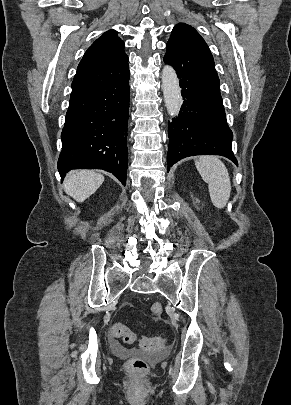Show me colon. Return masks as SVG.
Instances as JSON below:
<instances>
[{"mask_svg": "<svg viewBox=\"0 0 291 405\" xmlns=\"http://www.w3.org/2000/svg\"><path fill=\"white\" fill-rule=\"evenodd\" d=\"M153 316L158 317L163 312V307L159 303H155L151 307ZM113 339H122L126 343H132L136 340V336L129 330L123 323H116L112 326L110 331ZM140 346L145 351L161 350L166 346V339L164 337H143L140 339ZM126 367L135 373H143L147 370V361L142 357H131L126 361Z\"/></svg>", "mask_w": 291, "mask_h": 405, "instance_id": "colon-1", "label": "colon"}]
</instances>
